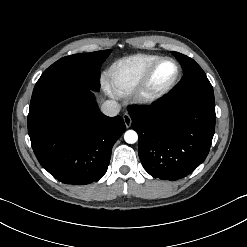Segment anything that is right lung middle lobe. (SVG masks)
Masks as SVG:
<instances>
[{"label":"right lung middle lobe","instance_id":"obj_1","mask_svg":"<svg viewBox=\"0 0 247 247\" xmlns=\"http://www.w3.org/2000/svg\"><path fill=\"white\" fill-rule=\"evenodd\" d=\"M111 50L81 53L61 58L46 69L37 81L30 109L36 108L52 95L73 87L94 91L100 89V67Z\"/></svg>","mask_w":247,"mask_h":247}]
</instances>
